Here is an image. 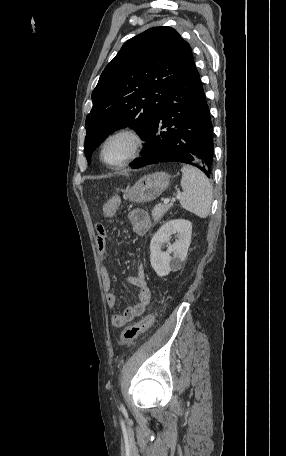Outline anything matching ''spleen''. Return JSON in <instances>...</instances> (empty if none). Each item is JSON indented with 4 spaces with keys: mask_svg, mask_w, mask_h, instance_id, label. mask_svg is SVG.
<instances>
[{
    "mask_svg": "<svg viewBox=\"0 0 286 456\" xmlns=\"http://www.w3.org/2000/svg\"><path fill=\"white\" fill-rule=\"evenodd\" d=\"M180 196L181 206L200 218H206L212 203V186L208 178L199 169L184 165L182 167Z\"/></svg>",
    "mask_w": 286,
    "mask_h": 456,
    "instance_id": "spleen-1",
    "label": "spleen"
}]
</instances>
